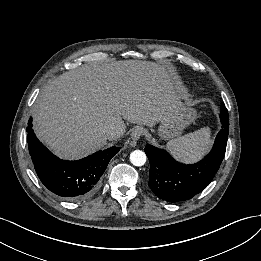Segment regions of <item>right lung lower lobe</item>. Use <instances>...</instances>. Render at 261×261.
I'll list each match as a JSON object with an SVG mask.
<instances>
[{
    "label": "right lung lower lobe",
    "mask_w": 261,
    "mask_h": 261,
    "mask_svg": "<svg viewBox=\"0 0 261 261\" xmlns=\"http://www.w3.org/2000/svg\"><path fill=\"white\" fill-rule=\"evenodd\" d=\"M27 127L28 148L41 182L53 193L69 201L91 196L99 187L110 159L119 147H110L77 161H66L53 155L36 138L32 119Z\"/></svg>",
    "instance_id": "98d812e1"
}]
</instances>
